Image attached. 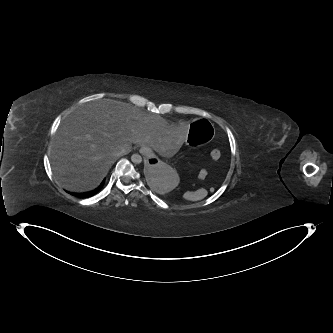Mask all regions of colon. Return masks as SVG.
I'll use <instances>...</instances> for the list:
<instances>
[{"instance_id": "obj_1", "label": "colon", "mask_w": 333, "mask_h": 333, "mask_svg": "<svg viewBox=\"0 0 333 333\" xmlns=\"http://www.w3.org/2000/svg\"><path fill=\"white\" fill-rule=\"evenodd\" d=\"M210 156L213 161H217L221 157V151L219 149L215 148L210 152ZM206 174H207V172L204 169L201 170L199 173L201 178H204L206 176Z\"/></svg>"}]
</instances>
